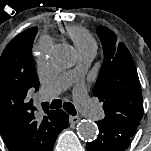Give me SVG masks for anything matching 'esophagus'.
<instances>
[{
  "instance_id": "obj_1",
  "label": "esophagus",
  "mask_w": 151,
  "mask_h": 151,
  "mask_svg": "<svg viewBox=\"0 0 151 151\" xmlns=\"http://www.w3.org/2000/svg\"><path fill=\"white\" fill-rule=\"evenodd\" d=\"M79 119L80 118L78 116H70L69 121H70V123L75 124L79 121Z\"/></svg>"
}]
</instances>
